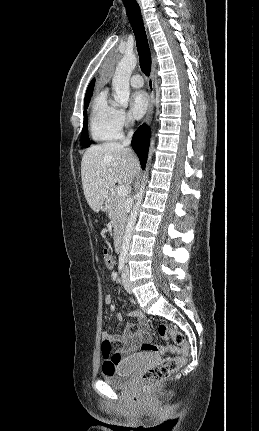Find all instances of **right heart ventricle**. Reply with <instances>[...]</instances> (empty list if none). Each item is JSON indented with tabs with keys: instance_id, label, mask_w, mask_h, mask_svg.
<instances>
[{
	"instance_id": "obj_1",
	"label": "right heart ventricle",
	"mask_w": 259,
	"mask_h": 431,
	"mask_svg": "<svg viewBox=\"0 0 259 431\" xmlns=\"http://www.w3.org/2000/svg\"><path fill=\"white\" fill-rule=\"evenodd\" d=\"M115 108L108 103L106 91L94 97L89 114V132L96 142H109L121 136L114 122Z\"/></svg>"
}]
</instances>
